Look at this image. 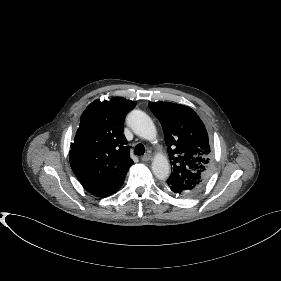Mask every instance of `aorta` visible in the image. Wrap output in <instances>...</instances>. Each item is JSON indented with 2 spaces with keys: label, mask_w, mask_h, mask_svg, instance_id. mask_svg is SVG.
<instances>
[{
  "label": "aorta",
  "mask_w": 281,
  "mask_h": 281,
  "mask_svg": "<svg viewBox=\"0 0 281 281\" xmlns=\"http://www.w3.org/2000/svg\"><path fill=\"white\" fill-rule=\"evenodd\" d=\"M127 124L133 132L146 140H153L157 136L156 127L152 119L141 110H133L127 116ZM152 171L158 179H166L170 174V166L165 155H157L152 162Z\"/></svg>",
  "instance_id": "aorta-1"
}]
</instances>
